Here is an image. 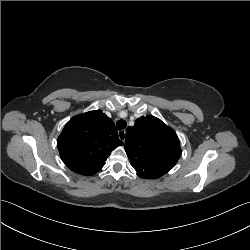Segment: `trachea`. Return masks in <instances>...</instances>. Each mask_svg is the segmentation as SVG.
<instances>
[{
  "mask_svg": "<svg viewBox=\"0 0 250 250\" xmlns=\"http://www.w3.org/2000/svg\"><path fill=\"white\" fill-rule=\"evenodd\" d=\"M127 126V122L125 120H118L116 122V127L118 130H123Z\"/></svg>",
  "mask_w": 250,
  "mask_h": 250,
  "instance_id": "obj_1",
  "label": "trachea"
}]
</instances>
